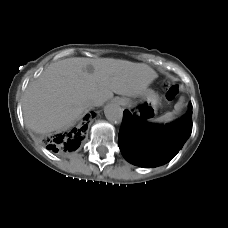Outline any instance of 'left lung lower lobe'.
I'll return each mask as SVG.
<instances>
[{
    "label": "left lung lower lobe",
    "instance_id": "left-lung-lower-lobe-1",
    "mask_svg": "<svg viewBox=\"0 0 228 228\" xmlns=\"http://www.w3.org/2000/svg\"><path fill=\"white\" fill-rule=\"evenodd\" d=\"M192 131V105L179 120L167 124L148 123L124 111L118 145L124 158L140 167H155L170 161L183 147Z\"/></svg>",
    "mask_w": 228,
    "mask_h": 228
}]
</instances>
